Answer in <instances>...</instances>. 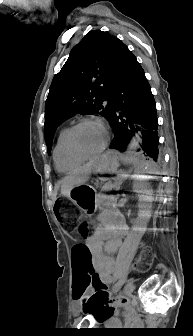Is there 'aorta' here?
Segmentation results:
<instances>
[{
    "mask_svg": "<svg viewBox=\"0 0 193 336\" xmlns=\"http://www.w3.org/2000/svg\"><path fill=\"white\" fill-rule=\"evenodd\" d=\"M139 142H140V137L139 135H136L129 143L128 145V151H134L138 145H139Z\"/></svg>",
    "mask_w": 193,
    "mask_h": 336,
    "instance_id": "aorta-1",
    "label": "aorta"
}]
</instances>
